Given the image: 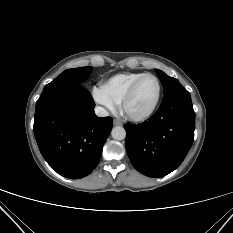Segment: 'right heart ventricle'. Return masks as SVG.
I'll return each mask as SVG.
<instances>
[{
    "mask_svg": "<svg viewBox=\"0 0 233 233\" xmlns=\"http://www.w3.org/2000/svg\"><path fill=\"white\" fill-rule=\"evenodd\" d=\"M145 73L142 72H128L120 73L112 76L106 82V87L112 94V96L118 101L121 102L124 98L126 92L132 85V83L142 76Z\"/></svg>",
    "mask_w": 233,
    "mask_h": 233,
    "instance_id": "right-heart-ventricle-1",
    "label": "right heart ventricle"
}]
</instances>
